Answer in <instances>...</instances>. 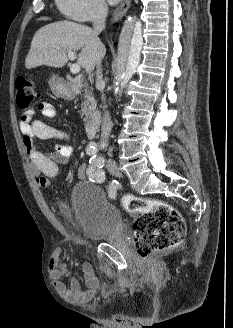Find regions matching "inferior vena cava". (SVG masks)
<instances>
[{
    "mask_svg": "<svg viewBox=\"0 0 233 328\" xmlns=\"http://www.w3.org/2000/svg\"><path fill=\"white\" fill-rule=\"evenodd\" d=\"M108 14V6L103 0H98L93 7V29L95 32L100 33L105 28V21ZM96 87L100 91L103 90L104 82L102 78V69H101V61L97 63V71H96ZM102 100L105 101L104 94H102ZM106 106H104V115L102 119L101 126V142L106 143L108 141L112 122L109 115V112L105 110Z\"/></svg>",
    "mask_w": 233,
    "mask_h": 328,
    "instance_id": "1",
    "label": "inferior vena cava"
}]
</instances>
